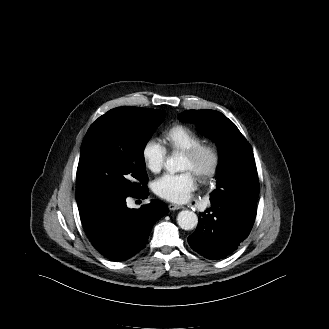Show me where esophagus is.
I'll return each mask as SVG.
<instances>
[{"label":"esophagus","mask_w":329,"mask_h":329,"mask_svg":"<svg viewBox=\"0 0 329 329\" xmlns=\"http://www.w3.org/2000/svg\"><path fill=\"white\" fill-rule=\"evenodd\" d=\"M169 210L174 211L183 208V206L176 205V204H169L168 205Z\"/></svg>","instance_id":"1"}]
</instances>
